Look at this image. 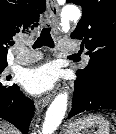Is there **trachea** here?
Wrapping results in <instances>:
<instances>
[{"mask_svg":"<svg viewBox=\"0 0 116 134\" xmlns=\"http://www.w3.org/2000/svg\"><path fill=\"white\" fill-rule=\"evenodd\" d=\"M42 46L54 48V41L51 37V28L49 25H47L46 27L42 29L40 36L37 38V40L35 41L33 45V48L36 49ZM71 56H75V54Z\"/></svg>","mask_w":116,"mask_h":134,"instance_id":"trachea-1","label":"trachea"}]
</instances>
